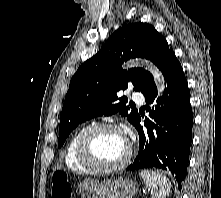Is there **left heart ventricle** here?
Returning <instances> with one entry per match:
<instances>
[{
  "instance_id": "1",
  "label": "left heart ventricle",
  "mask_w": 221,
  "mask_h": 198,
  "mask_svg": "<svg viewBox=\"0 0 221 198\" xmlns=\"http://www.w3.org/2000/svg\"><path fill=\"white\" fill-rule=\"evenodd\" d=\"M127 151L125 137L114 130L96 133L91 142L93 158L101 165H114L120 162Z\"/></svg>"
}]
</instances>
